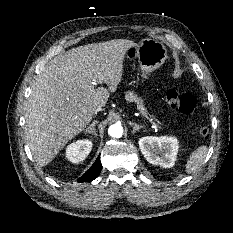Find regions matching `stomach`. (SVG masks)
I'll list each match as a JSON object with an SVG mask.
<instances>
[{
  "mask_svg": "<svg viewBox=\"0 0 233 233\" xmlns=\"http://www.w3.org/2000/svg\"><path fill=\"white\" fill-rule=\"evenodd\" d=\"M127 56L137 58L141 76L147 79L151 72L163 65L167 59L165 45L155 39L146 38L127 50ZM143 105L144 100H140Z\"/></svg>",
  "mask_w": 233,
  "mask_h": 233,
  "instance_id": "1",
  "label": "stomach"
}]
</instances>
